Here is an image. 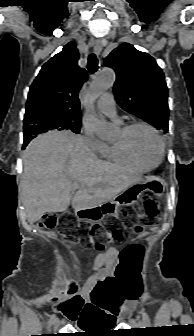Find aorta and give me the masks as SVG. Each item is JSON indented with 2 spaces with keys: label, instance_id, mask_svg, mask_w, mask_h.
<instances>
[{
  "label": "aorta",
  "instance_id": "obj_1",
  "mask_svg": "<svg viewBox=\"0 0 194 336\" xmlns=\"http://www.w3.org/2000/svg\"><path fill=\"white\" fill-rule=\"evenodd\" d=\"M115 81V73L111 68H103L92 80L87 93L88 103L92 105L98 97L111 88ZM85 125L99 138L109 141L113 138L115 130L111 124L100 119L93 110H90L85 119Z\"/></svg>",
  "mask_w": 194,
  "mask_h": 336
}]
</instances>
